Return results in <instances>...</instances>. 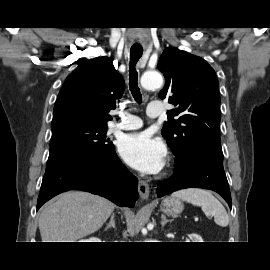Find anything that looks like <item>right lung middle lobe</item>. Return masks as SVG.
<instances>
[{
  "label": "right lung middle lobe",
  "instance_id": "right-lung-middle-lobe-1",
  "mask_svg": "<svg viewBox=\"0 0 270 270\" xmlns=\"http://www.w3.org/2000/svg\"><path fill=\"white\" fill-rule=\"evenodd\" d=\"M107 126L84 122H66L52 126L50 149L57 146L75 145L111 151L113 144L106 138Z\"/></svg>",
  "mask_w": 270,
  "mask_h": 270
}]
</instances>
